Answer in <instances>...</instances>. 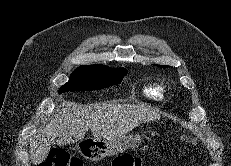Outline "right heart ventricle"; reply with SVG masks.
<instances>
[{"instance_id": "1", "label": "right heart ventricle", "mask_w": 231, "mask_h": 166, "mask_svg": "<svg viewBox=\"0 0 231 166\" xmlns=\"http://www.w3.org/2000/svg\"><path fill=\"white\" fill-rule=\"evenodd\" d=\"M143 93L148 98L160 100L164 96V89L158 83H151L144 87Z\"/></svg>"}]
</instances>
